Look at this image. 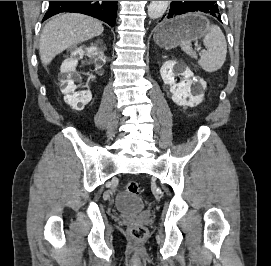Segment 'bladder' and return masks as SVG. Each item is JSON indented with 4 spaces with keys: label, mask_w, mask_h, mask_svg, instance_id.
Wrapping results in <instances>:
<instances>
[{
    "label": "bladder",
    "mask_w": 271,
    "mask_h": 266,
    "mask_svg": "<svg viewBox=\"0 0 271 266\" xmlns=\"http://www.w3.org/2000/svg\"><path fill=\"white\" fill-rule=\"evenodd\" d=\"M143 207V200L139 196L128 192L119 194L114 202V208L117 212L128 215H134L140 212Z\"/></svg>",
    "instance_id": "31cf9c89"
}]
</instances>
